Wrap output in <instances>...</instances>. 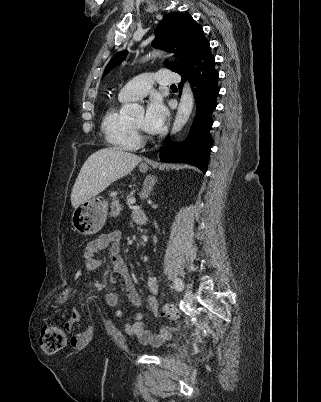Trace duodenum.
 I'll use <instances>...</instances> for the list:
<instances>
[{
  "label": "duodenum",
  "mask_w": 321,
  "mask_h": 402,
  "mask_svg": "<svg viewBox=\"0 0 321 402\" xmlns=\"http://www.w3.org/2000/svg\"><path fill=\"white\" fill-rule=\"evenodd\" d=\"M134 218H135L136 222L139 223V224H146L147 223L146 215L141 209L135 210Z\"/></svg>",
  "instance_id": "duodenum-1"
}]
</instances>
